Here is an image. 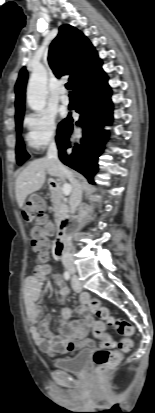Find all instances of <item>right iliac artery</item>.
<instances>
[{
  "instance_id": "1",
  "label": "right iliac artery",
  "mask_w": 155,
  "mask_h": 413,
  "mask_svg": "<svg viewBox=\"0 0 155 413\" xmlns=\"http://www.w3.org/2000/svg\"><path fill=\"white\" fill-rule=\"evenodd\" d=\"M65 280H69L70 279V273L68 271H65L63 274Z\"/></svg>"
}]
</instances>
